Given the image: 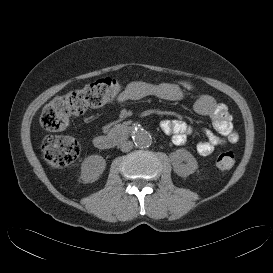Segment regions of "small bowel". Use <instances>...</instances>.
I'll return each instance as SVG.
<instances>
[{"label":"small bowel","instance_id":"obj_1","mask_svg":"<svg viewBox=\"0 0 273 273\" xmlns=\"http://www.w3.org/2000/svg\"><path fill=\"white\" fill-rule=\"evenodd\" d=\"M193 90L194 86L187 80L158 84L136 80L127 85L125 91L119 96L118 102L124 103L128 100H139L149 96L180 102L187 98V92ZM193 107L196 113L209 117L215 129V131L202 130L205 139L197 144V151L200 155L208 156L218 147L238 142V135L233 130L231 116L224 104L217 103L210 95H200L194 100ZM160 127L163 132L172 135V141L176 146L185 145L188 136L194 131L192 125L177 119L163 120Z\"/></svg>","mask_w":273,"mask_h":273}]
</instances>
